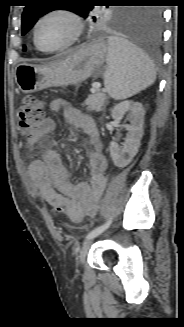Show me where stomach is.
I'll return each instance as SVG.
<instances>
[{
    "mask_svg": "<svg viewBox=\"0 0 184 327\" xmlns=\"http://www.w3.org/2000/svg\"><path fill=\"white\" fill-rule=\"evenodd\" d=\"M107 54L106 41H94L64 59L47 65L18 64L15 81L23 93L55 86H77L102 72Z\"/></svg>",
    "mask_w": 184,
    "mask_h": 327,
    "instance_id": "obj_1",
    "label": "stomach"
}]
</instances>
